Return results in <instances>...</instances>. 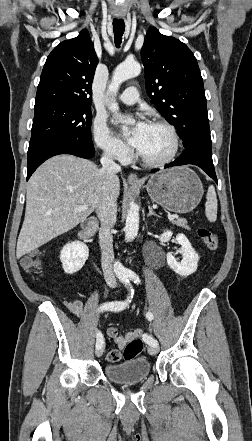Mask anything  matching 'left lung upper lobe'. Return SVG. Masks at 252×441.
Listing matches in <instances>:
<instances>
[{
  "label": "left lung upper lobe",
  "instance_id": "5c2ea615",
  "mask_svg": "<svg viewBox=\"0 0 252 441\" xmlns=\"http://www.w3.org/2000/svg\"><path fill=\"white\" fill-rule=\"evenodd\" d=\"M141 57L147 94L161 115L176 127L184 147L211 143L203 79L191 50L180 40L150 27Z\"/></svg>",
  "mask_w": 252,
  "mask_h": 441
}]
</instances>
